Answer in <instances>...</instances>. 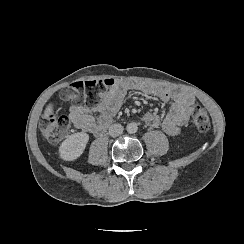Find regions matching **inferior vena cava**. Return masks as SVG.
I'll list each match as a JSON object with an SVG mask.
<instances>
[{
	"instance_id": "inferior-vena-cava-1",
	"label": "inferior vena cava",
	"mask_w": 244,
	"mask_h": 244,
	"mask_svg": "<svg viewBox=\"0 0 244 244\" xmlns=\"http://www.w3.org/2000/svg\"><path fill=\"white\" fill-rule=\"evenodd\" d=\"M123 126L121 124H112L109 127V134L112 137H117L123 133Z\"/></svg>"
}]
</instances>
